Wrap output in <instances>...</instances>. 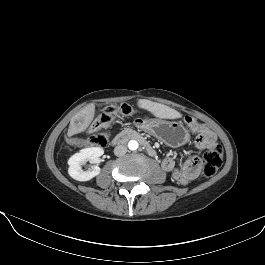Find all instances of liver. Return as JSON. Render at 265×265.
Masks as SVG:
<instances>
[{"label":"liver","instance_id":"obj_1","mask_svg":"<svg viewBox=\"0 0 265 265\" xmlns=\"http://www.w3.org/2000/svg\"><path fill=\"white\" fill-rule=\"evenodd\" d=\"M137 105L139 108L149 111L159 119H178L182 117V115L175 109L147 99H139ZM94 116L95 105L93 103L83 107L71 118L68 136L84 132L92 122Z\"/></svg>","mask_w":265,"mask_h":265}]
</instances>
